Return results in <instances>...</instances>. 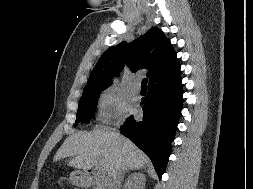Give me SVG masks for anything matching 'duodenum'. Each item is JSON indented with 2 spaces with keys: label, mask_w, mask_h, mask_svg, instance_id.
<instances>
[{
  "label": "duodenum",
  "mask_w": 253,
  "mask_h": 189,
  "mask_svg": "<svg viewBox=\"0 0 253 189\" xmlns=\"http://www.w3.org/2000/svg\"><path fill=\"white\" fill-rule=\"evenodd\" d=\"M77 181L84 187L96 185L100 187V189H111L107 176L96 169L80 172Z\"/></svg>",
  "instance_id": "1"
}]
</instances>
